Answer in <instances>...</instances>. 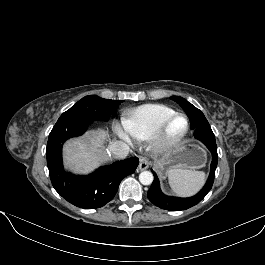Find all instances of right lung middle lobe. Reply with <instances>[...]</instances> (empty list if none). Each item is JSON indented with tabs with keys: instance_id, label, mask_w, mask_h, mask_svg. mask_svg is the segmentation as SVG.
<instances>
[{
	"instance_id": "1",
	"label": "right lung middle lobe",
	"mask_w": 265,
	"mask_h": 265,
	"mask_svg": "<svg viewBox=\"0 0 265 265\" xmlns=\"http://www.w3.org/2000/svg\"><path fill=\"white\" fill-rule=\"evenodd\" d=\"M122 101L103 99L99 96L89 95L82 98L69 110L64 112L57 122L81 118L85 120L108 121L113 111Z\"/></svg>"
}]
</instances>
